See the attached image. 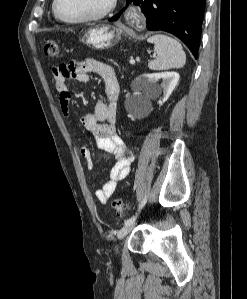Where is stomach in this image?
<instances>
[{
  "label": "stomach",
  "mask_w": 247,
  "mask_h": 299,
  "mask_svg": "<svg viewBox=\"0 0 247 299\" xmlns=\"http://www.w3.org/2000/svg\"><path fill=\"white\" fill-rule=\"evenodd\" d=\"M122 28L118 25H96L85 31L81 41L93 49L103 50L115 46L121 39Z\"/></svg>",
  "instance_id": "0dacf381"
}]
</instances>
